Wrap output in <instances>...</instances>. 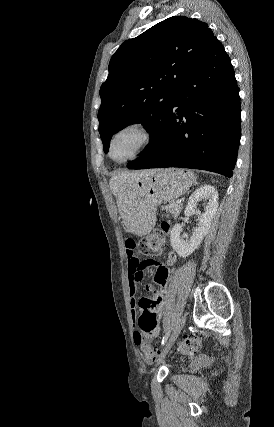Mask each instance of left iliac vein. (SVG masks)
<instances>
[{"instance_id": "1", "label": "left iliac vein", "mask_w": 274, "mask_h": 427, "mask_svg": "<svg viewBox=\"0 0 274 427\" xmlns=\"http://www.w3.org/2000/svg\"><path fill=\"white\" fill-rule=\"evenodd\" d=\"M186 322V316L185 315H181L177 321V324L175 326V329L173 331V333L171 334L169 340L167 341L166 345L164 346L161 355L159 357V359L156 362V367H159L163 362L164 359L167 355V353L169 352L170 348L172 347L173 343L175 342V340L177 339L179 333L181 332V330L183 329L184 325Z\"/></svg>"}]
</instances>
